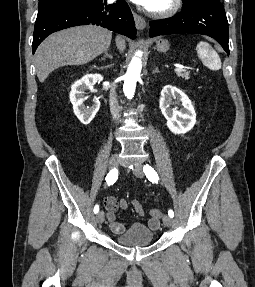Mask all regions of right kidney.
<instances>
[{"mask_svg": "<svg viewBox=\"0 0 255 287\" xmlns=\"http://www.w3.org/2000/svg\"><path fill=\"white\" fill-rule=\"evenodd\" d=\"M102 80L103 76H101V74H86L81 80H77V82L72 84L70 102L73 104L75 116H77L78 120H80L82 124H85V126H88L93 118H95L100 108V102L99 100H94V106H92V108H86L84 102L87 98H84V94L86 90H91L96 82H102Z\"/></svg>", "mask_w": 255, "mask_h": 287, "instance_id": "obj_1", "label": "right kidney"}]
</instances>
